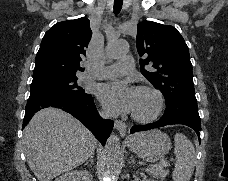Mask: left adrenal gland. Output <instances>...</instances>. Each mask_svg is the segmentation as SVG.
Here are the masks:
<instances>
[{"label": "left adrenal gland", "instance_id": "a2214340", "mask_svg": "<svg viewBox=\"0 0 228 181\" xmlns=\"http://www.w3.org/2000/svg\"><path fill=\"white\" fill-rule=\"evenodd\" d=\"M130 163H133V165H136V161H134L133 155H131V157L129 159V165H130Z\"/></svg>", "mask_w": 228, "mask_h": 181}]
</instances>
